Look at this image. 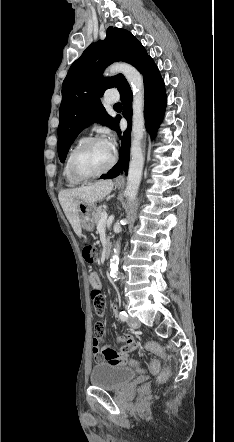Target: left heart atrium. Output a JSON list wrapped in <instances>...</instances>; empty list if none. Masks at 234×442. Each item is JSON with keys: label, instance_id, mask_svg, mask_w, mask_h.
<instances>
[{"label": "left heart atrium", "instance_id": "left-heart-atrium-1", "mask_svg": "<svg viewBox=\"0 0 234 442\" xmlns=\"http://www.w3.org/2000/svg\"><path fill=\"white\" fill-rule=\"evenodd\" d=\"M106 144L108 145V147L113 151L115 148V136L113 133H109L108 137L105 139Z\"/></svg>", "mask_w": 234, "mask_h": 442}]
</instances>
